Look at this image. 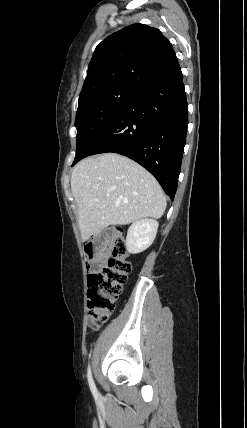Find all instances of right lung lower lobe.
Wrapping results in <instances>:
<instances>
[{"instance_id": "obj_1", "label": "right lung lower lobe", "mask_w": 247, "mask_h": 428, "mask_svg": "<svg viewBox=\"0 0 247 428\" xmlns=\"http://www.w3.org/2000/svg\"><path fill=\"white\" fill-rule=\"evenodd\" d=\"M188 127V103L179 63L142 88L97 135L73 165L114 152L146 168L173 201Z\"/></svg>"}]
</instances>
